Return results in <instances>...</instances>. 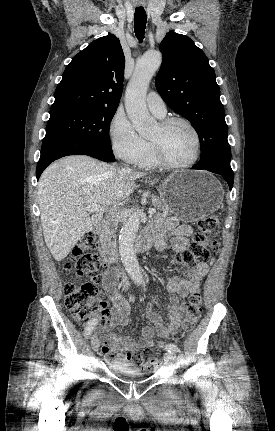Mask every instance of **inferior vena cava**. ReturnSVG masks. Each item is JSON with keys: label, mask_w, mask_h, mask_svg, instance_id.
<instances>
[{"label": "inferior vena cava", "mask_w": 275, "mask_h": 431, "mask_svg": "<svg viewBox=\"0 0 275 431\" xmlns=\"http://www.w3.org/2000/svg\"><path fill=\"white\" fill-rule=\"evenodd\" d=\"M127 170H129V169H127ZM115 211H116V206H114L113 209H111V212L108 214V219L113 224V228L116 230L117 225L119 223V216ZM123 281H124V285L128 288L129 283H128L126 277H124Z\"/></svg>", "instance_id": "obj_1"}]
</instances>
